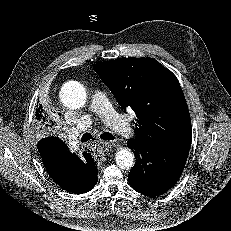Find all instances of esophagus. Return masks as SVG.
Segmentation results:
<instances>
[{
  "label": "esophagus",
  "mask_w": 231,
  "mask_h": 231,
  "mask_svg": "<svg viewBox=\"0 0 231 231\" xmlns=\"http://www.w3.org/2000/svg\"><path fill=\"white\" fill-rule=\"evenodd\" d=\"M115 143L111 141H102L100 148L103 152H108L114 147Z\"/></svg>",
  "instance_id": "34e87169"
}]
</instances>
